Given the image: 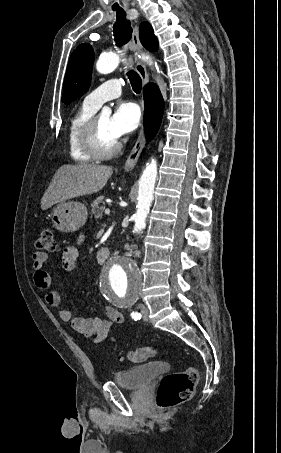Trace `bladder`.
<instances>
[{"instance_id":"bladder-1","label":"bladder","mask_w":281,"mask_h":453,"mask_svg":"<svg viewBox=\"0 0 281 453\" xmlns=\"http://www.w3.org/2000/svg\"><path fill=\"white\" fill-rule=\"evenodd\" d=\"M169 371V365L164 362H151L142 366L121 371L116 376V383L128 389L146 387L158 376Z\"/></svg>"}]
</instances>
